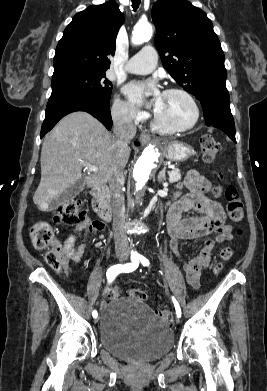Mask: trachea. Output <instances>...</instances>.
Returning a JSON list of instances; mask_svg holds the SVG:
<instances>
[{"mask_svg": "<svg viewBox=\"0 0 267 391\" xmlns=\"http://www.w3.org/2000/svg\"><path fill=\"white\" fill-rule=\"evenodd\" d=\"M141 3V0H132V7L134 10H137L139 5Z\"/></svg>", "mask_w": 267, "mask_h": 391, "instance_id": "1", "label": "trachea"}]
</instances>
